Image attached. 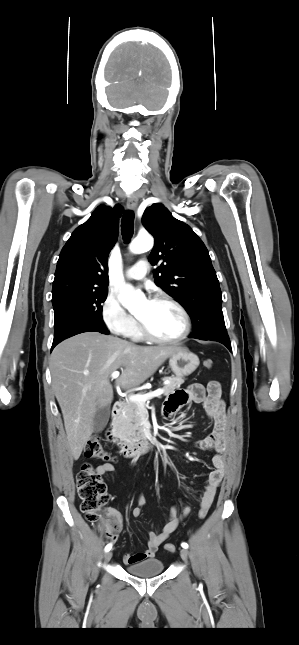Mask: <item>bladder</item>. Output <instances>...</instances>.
I'll list each match as a JSON object with an SVG mask.
<instances>
[{
	"mask_svg": "<svg viewBox=\"0 0 299 645\" xmlns=\"http://www.w3.org/2000/svg\"><path fill=\"white\" fill-rule=\"evenodd\" d=\"M126 570L129 574L138 577L155 576L163 572L164 563L158 558H151L128 565Z\"/></svg>",
	"mask_w": 299,
	"mask_h": 645,
	"instance_id": "31cf9c89",
	"label": "bladder"
}]
</instances>
